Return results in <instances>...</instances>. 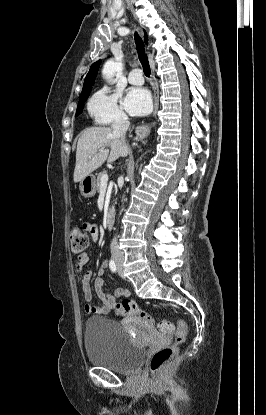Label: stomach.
Listing matches in <instances>:
<instances>
[{
  "label": "stomach",
  "mask_w": 266,
  "mask_h": 415,
  "mask_svg": "<svg viewBox=\"0 0 266 415\" xmlns=\"http://www.w3.org/2000/svg\"><path fill=\"white\" fill-rule=\"evenodd\" d=\"M80 191L83 197L90 198L95 195L96 181L93 175H88L80 182Z\"/></svg>",
  "instance_id": "stomach-1"
}]
</instances>
